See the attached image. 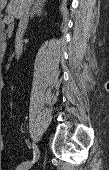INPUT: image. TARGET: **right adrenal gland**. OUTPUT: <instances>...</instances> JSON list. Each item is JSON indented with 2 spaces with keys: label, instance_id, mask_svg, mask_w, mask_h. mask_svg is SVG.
I'll use <instances>...</instances> for the list:
<instances>
[{
  "label": "right adrenal gland",
  "instance_id": "right-adrenal-gland-1",
  "mask_svg": "<svg viewBox=\"0 0 109 170\" xmlns=\"http://www.w3.org/2000/svg\"><path fill=\"white\" fill-rule=\"evenodd\" d=\"M43 8H44V4L40 1H36L33 5L31 13H30V19H32L34 17V15H38V16L43 15L44 14Z\"/></svg>",
  "mask_w": 109,
  "mask_h": 170
}]
</instances>
